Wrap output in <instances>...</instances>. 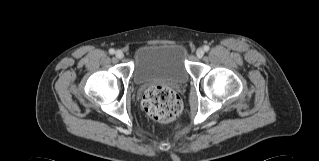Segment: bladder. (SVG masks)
<instances>
[{
    "mask_svg": "<svg viewBox=\"0 0 319 161\" xmlns=\"http://www.w3.org/2000/svg\"><path fill=\"white\" fill-rule=\"evenodd\" d=\"M187 52L177 43L145 44L134 53V79L145 85L152 82H188Z\"/></svg>",
    "mask_w": 319,
    "mask_h": 161,
    "instance_id": "31cf9c89",
    "label": "bladder"
}]
</instances>
